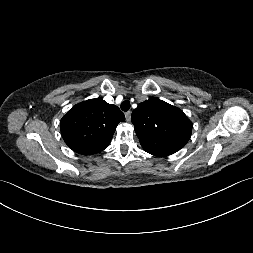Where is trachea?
I'll return each mask as SVG.
<instances>
[{
    "mask_svg": "<svg viewBox=\"0 0 253 253\" xmlns=\"http://www.w3.org/2000/svg\"><path fill=\"white\" fill-rule=\"evenodd\" d=\"M121 109L123 111H128L130 109V102L128 100H125L121 103Z\"/></svg>",
    "mask_w": 253,
    "mask_h": 253,
    "instance_id": "trachea-1",
    "label": "trachea"
}]
</instances>
